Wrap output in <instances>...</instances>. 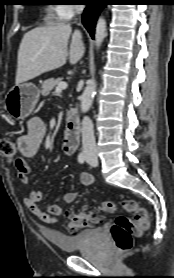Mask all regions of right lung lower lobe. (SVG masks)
<instances>
[{
	"label": "right lung lower lobe",
	"mask_w": 174,
	"mask_h": 278,
	"mask_svg": "<svg viewBox=\"0 0 174 278\" xmlns=\"http://www.w3.org/2000/svg\"><path fill=\"white\" fill-rule=\"evenodd\" d=\"M87 7L82 16V23L94 38V30L97 17L104 6L107 5V0H86Z\"/></svg>",
	"instance_id": "1"
}]
</instances>
